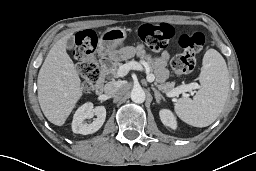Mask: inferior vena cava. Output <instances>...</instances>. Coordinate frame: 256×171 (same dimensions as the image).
I'll return each mask as SVG.
<instances>
[{
	"mask_svg": "<svg viewBox=\"0 0 256 171\" xmlns=\"http://www.w3.org/2000/svg\"><path fill=\"white\" fill-rule=\"evenodd\" d=\"M118 89V85L115 82H108L104 86V92L109 96L115 95L118 92Z\"/></svg>",
	"mask_w": 256,
	"mask_h": 171,
	"instance_id": "inferior-vena-cava-1",
	"label": "inferior vena cava"
}]
</instances>
